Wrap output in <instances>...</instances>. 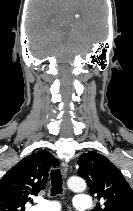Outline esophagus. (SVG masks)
I'll return each mask as SVG.
<instances>
[{
	"instance_id": "1",
	"label": "esophagus",
	"mask_w": 133,
	"mask_h": 211,
	"mask_svg": "<svg viewBox=\"0 0 133 211\" xmlns=\"http://www.w3.org/2000/svg\"><path fill=\"white\" fill-rule=\"evenodd\" d=\"M61 172H62L63 177L66 179L67 173H68V164L66 162L61 163Z\"/></svg>"
}]
</instances>
